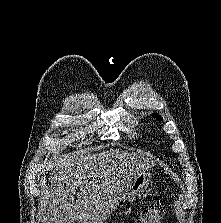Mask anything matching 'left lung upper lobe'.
<instances>
[{
	"mask_svg": "<svg viewBox=\"0 0 221 223\" xmlns=\"http://www.w3.org/2000/svg\"><path fill=\"white\" fill-rule=\"evenodd\" d=\"M154 117H156L158 120H162L161 117L158 114H153Z\"/></svg>",
	"mask_w": 221,
	"mask_h": 223,
	"instance_id": "5c2ea615",
	"label": "left lung upper lobe"
}]
</instances>
